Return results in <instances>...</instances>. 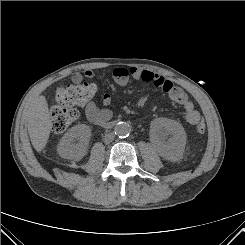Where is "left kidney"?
Segmentation results:
<instances>
[{
    "mask_svg": "<svg viewBox=\"0 0 245 245\" xmlns=\"http://www.w3.org/2000/svg\"><path fill=\"white\" fill-rule=\"evenodd\" d=\"M151 134L156 139L159 153L163 157L176 160L184 152L186 133L180 123L165 118L154 120L151 124Z\"/></svg>",
    "mask_w": 245,
    "mask_h": 245,
    "instance_id": "5707ae66",
    "label": "left kidney"
}]
</instances>
